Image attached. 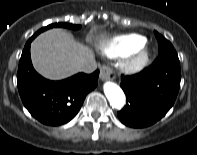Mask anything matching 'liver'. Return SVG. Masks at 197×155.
Here are the masks:
<instances>
[{"mask_svg": "<svg viewBox=\"0 0 197 155\" xmlns=\"http://www.w3.org/2000/svg\"><path fill=\"white\" fill-rule=\"evenodd\" d=\"M31 58L38 73L59 80L80 71L83 64L94 60V54L66 31L56 28L35 38L31 44Z\"/></svg>", "mask_w": 197, "mask_h": 155, "instance_id": "1", "label": "liver"}]
</instances>
